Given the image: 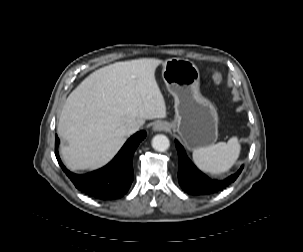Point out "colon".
<instances>
[{
  "label": "colon",
  "instance_id": "colon-1",
  "mask_svg": "<svg viewBox=\"0 0 303 252\" xmlns=\"http://www.w3.org/2000/svg\"><path fill=\"white\" fill-rule=\"evenodd\" d=\"M212 78H213V81L216 85H221L222 83V78H221V75L217 72H213L212 73Z\"/></svg>",
  "mask_w": 303,
  "mask_h": 252
}]
</instances>
